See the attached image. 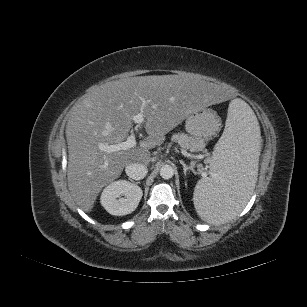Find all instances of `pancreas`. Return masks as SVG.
Returning a JSON list of instances; mask_svg holds the SVG:
<instances>
[{
  "instance_id": "1",
  "label": "pancreas",
  "mask_w": 307,
  "mask_h": 307,
  "mask_svg": "<svg viewBox=\"0 0 307 307\" xmlns=\"http://www.w3.org/2000/svg\"><path fill=\"white\" fill-rule=\"evenodd\" d=\"M171 140L176 142L183 149L191 152H197L203 148V140L189 136L185 133H176L172 136Z\"/></svg>"
}]
</instances>
